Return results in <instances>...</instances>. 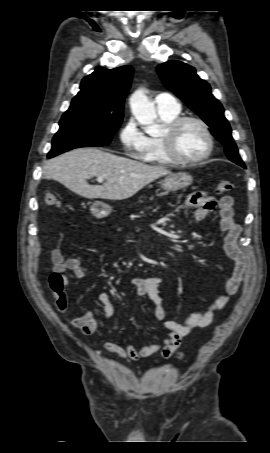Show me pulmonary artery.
<instances>
[{"label": "pulmonary artery", "instance_id": "obj_1", "mask_svg": "<svg viewBox=\"0 0 270 453\" xmlns=\"http://www.w3.org/2000/svg\"><path fill=\"white\" fill-rule=\"evenodd\" d=\"M154 102L159 113H174L180 111V104L170 93L156 95Z\"/></svg>", "mask_w": 270, "mask_h": 453}]
</instances>
